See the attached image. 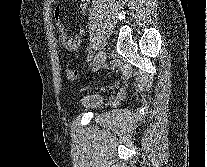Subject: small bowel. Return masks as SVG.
<instances>
[{"label":"small bowel","instance_id":"1","mask_svg":"<svg viewBox=\"0 0 207 167\" xmlns=\"http://www.w3.org/2000/svg\"><path fill=\"white\" fill-rule=\"evenodd\" d=\"M90 0H79V12L84 14L88 8ZM56 28L59 33V43L66 51H75L82 42L83 29L75 35H70L65 24L61 21V10L58 7L55 11Z\"/></svg>","mask_w":207,"mask_h":167}]
</instances>
